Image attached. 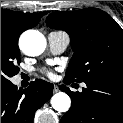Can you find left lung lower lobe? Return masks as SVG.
I'll use <instances>...</instances> for the list:
<instances>
[{"label":"left lung lower lobe","mask_w":123,"mask_h":123,"mask_svg":"<svg viewBox=\"0 0 123 123\" xmlns=\"http://www.w3.org/2000/svg\"><path fill=\"white\" fill-rule=\"evenodd\" d=\"M64 83L71 81L64 78ZM81 93L60 89L72 98V105L61 123H123V81L96 80L85 82Z\"/></svg>","instance_id":"1"}]
</instances>
